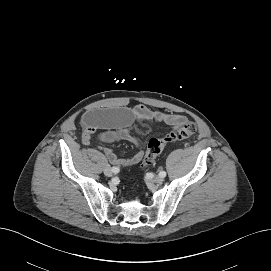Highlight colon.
Listing matches in <instances>:
<instances>
[{"instance_id":"1","label":"colon","mask_w":271,"mask_h":271,"mask_svg":"<svg viewBox=\"0 0 271 271\" xmlns=\"http://www.w3.org/2000/svg\"><path fill=\"white\" fill-rule=\"evenodd\" d=\"M196 130L195 124L191 121H184L175 129L163 137L151 138L148 142L146 153L142 160V166L146 167L153 163L155 158L170 143L183 140L191 136Z\"/></svg>"}]
</instances>
